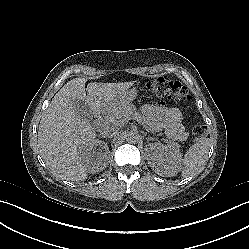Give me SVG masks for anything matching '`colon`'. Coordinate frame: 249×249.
<instances>
[{"label":"colon","mask_w":249,"mask_h":249,"mask_svg":"<svg viewBox=\"0 0 249 249\" xmlns=\"http://www.w3.org/2000/svg\"><path fill=\"white\" fill-rule=\"evenodd\" d=\"M146 88L157 95L164 96L176 103H184L191 100L188 89L178 81L159 77L154 81L148 82ZM205 134L206 129L203 126L195 125L192 129V136L194 139H200Z\"/></svg>","instance_id":"colon-1"}]
</instances>
